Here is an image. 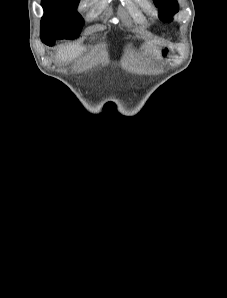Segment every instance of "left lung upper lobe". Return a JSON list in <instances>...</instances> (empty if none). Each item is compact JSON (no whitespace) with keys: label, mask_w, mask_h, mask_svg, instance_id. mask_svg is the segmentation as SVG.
Instances as JSON below:
<instances>
[{"label":"left lung upper lobe","mask_w":227,"mask_h":298,"mask_svg":"<svg viewBox=\"0 0 227 298\" xmlns=\"http://www.w3.org/2000/svg\"><path fill=\"white\" fill-rule=\"evenodd\" d=\"M155 5L160 12V19L164 21H172V17L179 10L177 0H154Z\"/></svg>","instance_id":"1"}]
</instances>
